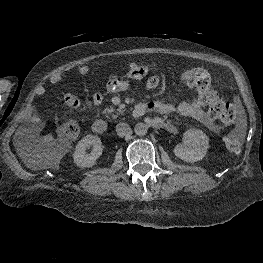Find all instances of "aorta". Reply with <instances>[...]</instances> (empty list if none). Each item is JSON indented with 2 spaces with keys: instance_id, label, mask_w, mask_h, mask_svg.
I'll return each mask as SVG.
<instances>
[{
  "instance_id": "obj_1",
  "label": "aorta",
  "mask_w": 263,
  "mask_h": 263,
  "mask_svg": "<svg viewBox=\"0 0 263 263\" xmlns=\"http://www.w3.org/2000/svg\"><path fill=\"white\" fill-rule=\"evenodd\" d=\"M134 131L138 136H144L148 131V126L145 123H137L134 127Z\"/></svg>"
}]
</instances>
